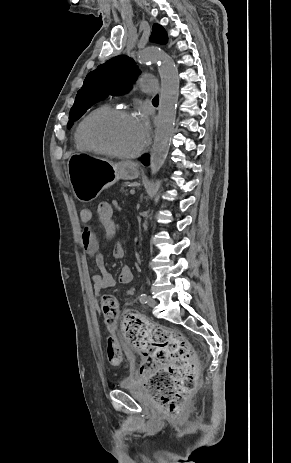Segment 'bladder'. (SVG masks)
<instances>
[{
  "label": "bladder",
  "instance_id": "31cf9c89",
  "mask_svg": "<svg viewBox=\"0 0 291 463\" xmlns=\"http://www.w3.org/2000/svg\"><path fill=\"white\" fill-rule=\"evenodd\" d=\"M133 356H128V361L132 362ZM138 385V382L136 378L129 373H127L125 376H123L121 379H119L117 386L119 388H128L132 386Z\"/></svg>",
  "mask_w": 291,
  "mask_h": 463
}]
</instances>
